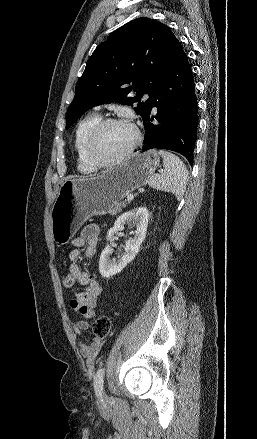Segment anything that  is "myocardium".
Masks as SVG:
<instances>
[{"mask_svg": "<svg viewBox=\"0 0 257 439\" xmlns=\"http://www.w3.org/2000/svg\"><path fill=\"white\" fill-rule=\"evenodd\" d=\"M111 125H127L130 126L135 133L134 140L132 143L119 155L110 159V160H102L95 153V145L102 134V132ZM142 141V134L133 121L125 118H106L102 119L89 133L86 143H85V152L89 159V161L98 168L108 167L110 165L116 164L118 162L123 161L127 157H129L133 151L140 145Z\"/></svg>", "mask_w": 257, "mask_h": 439, "instance_id": "1", "label": "myocardium"}]
</instances>
